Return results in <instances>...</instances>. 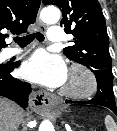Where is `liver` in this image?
Listing matches in <instances>:
<instances>
[{"label": "liver", "mask_w": 117, "mask_h": 131, "mask_svg": "<svg viewBox=\"0 0 117 131\" xmlns=\"http://www.w3.org/2000/svg\"><path fill=\"white\" fill-rule=\"evenodd\" d=\"M23 110L14 102L0 98V131H17Z\"/></svg>", "instance_id": "obj_1"}]
</instances>
